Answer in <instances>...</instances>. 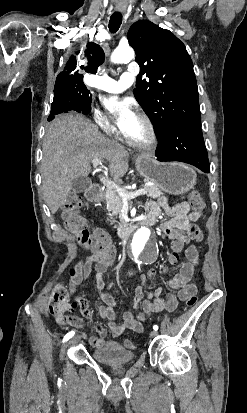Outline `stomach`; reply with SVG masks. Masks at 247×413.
I'll return each mask as SVG.
<instances>
[{"label": "stomach", "instance_id": "obj_1", "mask_svg": "<svg viewBox=\"0 0 247 413\" xmlns=\"http://www.w3.org/2000/svg\"><path fill=\"white\" fill-rule=\"evenodd\" d=\"M135 164L141 176L168 194H184L196 184L194 168L183 162H159L154 156L139 154Z\"/></svg>", "mask_w": 247, "mask_h": 413}]
</instances>
